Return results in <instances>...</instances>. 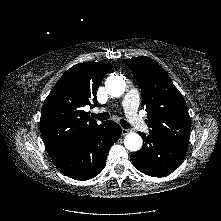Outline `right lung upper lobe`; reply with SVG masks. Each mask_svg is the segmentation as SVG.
<instances>
[{
  "instance_id": "right-lung-upper-lobe-1",
  "label": "right lung upper lobe",
  "mask_w": 221,
  "mask_h": 221,
  "mask_svg": "<svg viewBox=\"0 0 221 221\" xmlns=\"http://www.w3.org/2000/svg\"><path fill=\"white\" fill-rule=\"evenodd\" d=\"M110 63L83 62L72 66L44 100L40 128L51 158L69 151L98 126L83 107L98 106L96 91Z\"/></svg>"
}]
</instances>
